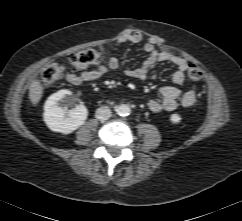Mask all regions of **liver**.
I'll list each match as a JSON object with an SVG mask.
<instances>
[{"label":"liver","mask_w":242,"mask_h":221,"mask_svg":"<svg viewBox=\"0 0 242 221\" xmlns=\"http://www.w3.org/2000/svg\"><path fill=\"white\" fill-rule=\"evenodd\" d=\"M43 87L38 79L32 80L29 86V99L33 105H36L41 100Z\"/></svg>","instance_id":"liver-1"}]
</instances>
